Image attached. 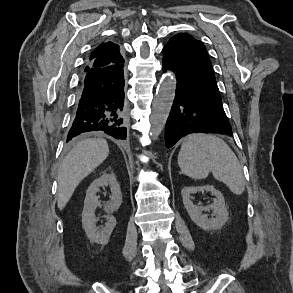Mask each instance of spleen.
Here are the masks:
<instances>
[{
  "mask_svg": "<svg viewBox=\"0 0 293 293\" xmlns=\"http://www.w3.org/2000/svg\"><path fill=\"white\" fill-rule=\"evenodd\" d=\"M183 174L204 179L212 172L236 195L245 190L242 168L235 153L221 138L211 134H191L184 138L178 155Z\"/></svg>",
  "mask_w": 293,
  "mask_h": 293,
  "instance_id": "3e777b00",
  "label": "spleen"
}]
</instances>
